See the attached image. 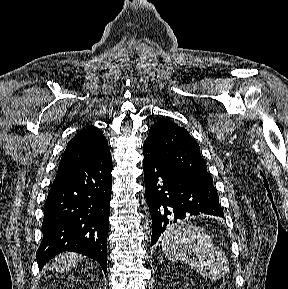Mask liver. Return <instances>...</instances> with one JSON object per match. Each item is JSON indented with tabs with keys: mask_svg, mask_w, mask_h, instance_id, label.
Masks as SVG:
<instances>
[{
	"mask_svg": "<svg viewBox=\"0 0 288 289\" xmlns=\"http://www.w3.org/2000/svg\"><path fill=\"white\" fill-rule=\"evenodd\" d=\"M82 260L83 256L77 253H63L52 261L49 269L57 272L69 271L77 266Z\"/></svg>",
	"mask_w": 288,
	"mask_h": 289,
	"instance_id": "1",
	"label": "liver"
}]
</instances>
